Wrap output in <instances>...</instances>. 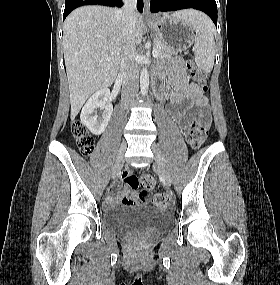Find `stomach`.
<instances>
[{"label":"stomach","instance_id":"0dacf381","mask_svg":"<svg viewBox=\"0 0 280 285\" xmlns=\"http://www.w3.org/2000/svg\"><path fill=\"white\" fill-rule=\"evenodd\" d=\"M155 35L167 45L183 50L194 42V32L190 23L173 15L165 14L148 23Z\"/></svg>","mask_w":280,"mask_h":285}]
</instances>
